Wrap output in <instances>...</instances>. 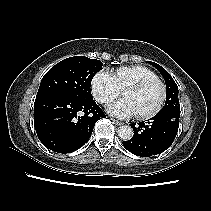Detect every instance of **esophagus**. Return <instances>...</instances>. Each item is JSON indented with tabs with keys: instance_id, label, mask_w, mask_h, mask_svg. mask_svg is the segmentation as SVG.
Masks as SVG:
<instances>
[{
	"instance_id": "1",
	"label": "esophagus",
	"mask_w": 211,
	"mask_h": 211,
	"mask_svg": "<svg viewBox=\"0 0 211 211\" xmlns=\"http://www.w3.org/2000/svg\"><path fill=\"white\" fill-rule=\"evenodd\" d=\"M113 123L120 126V125H123L124 123L122 121H119V120H115V119H112Z\"/></svg>"
}]
</instances>
